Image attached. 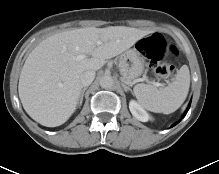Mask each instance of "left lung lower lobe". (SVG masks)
<instances>
[{
  "mask_svg": "<svg viewBox=\"0 0 219 174\" xmlns=\"http://www.w3.org/2000/svg\"><path fill=\"white\" fill-rule=\"evenodd\" d=\"M189 108H190V104H189V106L187 107V109H186V111H185V115H186V113L188 112ZM176 124H177V123L173 124L172 127L175 126Z\"/></svg>",
  "mask_w": 219,
  "mask_h": 174,
  "instance_id": "obj_1",
  "label": "left lung lower lobe"
}]
</instances>
